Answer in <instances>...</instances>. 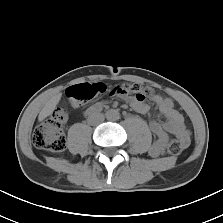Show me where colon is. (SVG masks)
<instances>
[{"label":"colon","instance_id":"1","mask_svg":"<svg viewBox=\"0 0 223 223\" xmlns=\"http://www.w3.org/2000/svg\"><path fill=\"white\" fill-rule=\"evenodd\" d=\"M106 86L103 83H81L70 86L66 91L67 98L71 101L73 106H78L93 100L98 95L104 93ZM116 96H135L139 100H144L147 97L155 95L151 87L140 85L138 83H119L113 91ZM165 106L167 108H174L176 106V99L174 97H167L165 99ZM67 120V113L64 109L58 108L52 112L47 120L37 125L33 131V144L43 150L50 152H61L66 147V137L62 128L63 123ZM183 150V145L178 139H173L168 145L170 154L178 156Z\"/></svg>","mask_w":223,"mask_h":223}]
</instances>
